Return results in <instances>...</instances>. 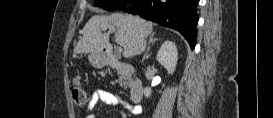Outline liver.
<instances>
[{
	"label": "liver",
	"mask_w": 273,
	"mask_h": 118,
	"mask_svg": "<svg viewBox=\"0 0 273 118\" xmlns=\"http://www.w3.org/2000/svg\"><path fill=\"white\" fill-rule=\"evenodd\" d=\"M107 29L116 31L115 40L124 48L123 56L129 58L145 50V38L152 32L153 24L131 15H94L84 26L74 53L102 52L110 48L109 34L102 33Z\"/></svg>",
	"instance_id": "liver-1"
}]
</instances>
